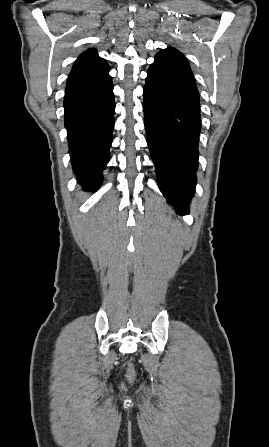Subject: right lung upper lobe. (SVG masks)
<instances>
[{
    "label": "right lung upper lobe",
    "instance_id": "cb5924a9",
    "mask_svg": "<svg viewBox=\"0 0 269 447\" xmlns=\"http://www.w3.org/2000/svg\"><path fill=\"white\" fill-rule=\"evenodd\" d=\"M96 53L97 52L95 49H89V50L85 51L84 53H82L79 56V58L75 61L72 70H75L77 68L87 66V65L105 62V60L103 58H100Z\"/></svg>",
    "mask_w": 269,
    "mask_h": 447
}]
</instances>
